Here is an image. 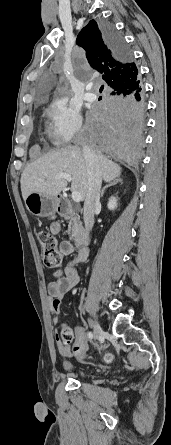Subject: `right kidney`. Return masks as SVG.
I'll use <instances>...</instances> for the list:
<instances>
[{
  "instance_id": "obj_1",
  "label": "right kidney",
  "mask_w": 171,
  "mask_h": 445,
  "mask_svg": "<svg viewBox=\"0 0 171 445\" xmlns=\"http://www.w3.org/2000/svg\"><path fill=\"white\" fill-rule=\"evenodd\" d=\"M107 206H108L109 210H114L117 207V198L114 196H111L109 198Z\"/></svg>"
}]
</instances>
